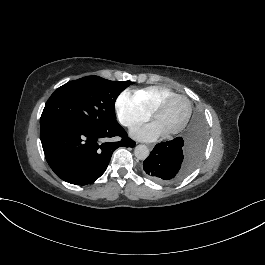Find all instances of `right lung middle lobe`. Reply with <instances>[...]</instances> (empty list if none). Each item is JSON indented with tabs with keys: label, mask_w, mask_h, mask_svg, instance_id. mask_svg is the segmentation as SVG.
<instances>
[{
	"label": "right lung middle lobe",
	"mask_w": 265,
	"mask_h": 265,
	"mask_svg": "<svg viewBox=\"0 0 265 265\" xmlns=\"http://www.w3.org/2000/svg\"><path fill=\"white\" fill-rule=\"evenodd\" d=\"M131 81H109L88 76L59 87L48 99L40 127L62 123H91L97 126L116 124L114 104Z\"/></svg>",
	"instance_id": "right-lung-middle-lobe-1"
}]
</instances>
